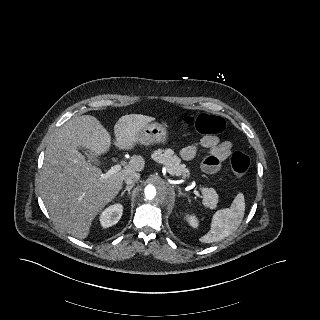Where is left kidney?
Masks as SVG:
<instances>
[{
	"label": "left kidney",
	"instance_id": "obj_1",
	"mask_svg": "<svg viewBox=\"0 0 320 320\" xmlns=\"http://www.w3.org/2000/svg\"><path fill=\"white\" fill-rule=\"evenodd\" d=\"M186 219L192 227L197 228L198 220L195 216L187 215Z\"/></svg>",
	"mask_w": 320,
	"mask_h": 320
}]
</instances>
